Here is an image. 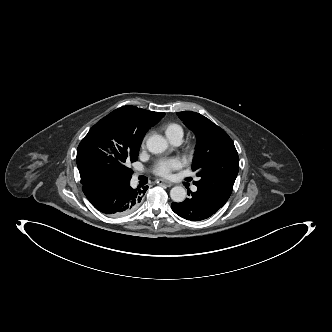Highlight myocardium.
I'll list each match as a JSON object with an SVG mask.
<instances>
[{
    "label": "myocardium",
    "instance_id": "f54148a6",
    "mask_svg": "<svg viewBox=\"0 0 332 332\" xmlns=\"http://www.w3.org/2000/svg\"><path fill=\"white\" fill-rule=\"evenodd\" d=\"M193 150H194L193 146H189V147L187 148V151H189V152H192Z\"/></svg>",
    "mask_w": 332,
    "mask_h": 332
}]
</instances>
